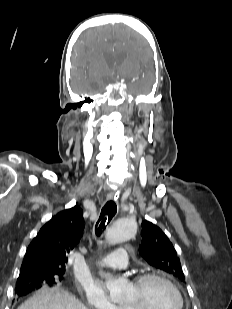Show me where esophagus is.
<instances>
[{
    "instance_id": "obj_1",
    "label": "esophagus",
    "mask_w": 232,
    "mask_h": 309,
    "mask_svg": "<svg viewBox=\"0 0 232 309\" xmlns=\"http://www.w3.org/2000/svg\"><path fill=\"white\" fill-rule=\"evenodd\" d=\"M108 199H113V195H108Z\"/></svg>"
}]
</instances>
